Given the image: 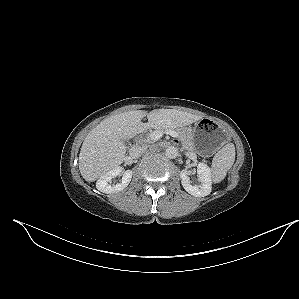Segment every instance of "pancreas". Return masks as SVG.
<instances>
[{"label": "pancreas", "mask_w": 299, "mask_h": 299, "mask_svg": "<svg viewBox=\"0 0 299 299\" xmlns=\"http://www.w3.org/2000/svg\"><path fill=\"white\" fill-rule=\"evenodd\" d=\"M167 130L175 131L177 133L178 137L180 138V140L182 141V143L185 145L186 149L189 151H193L192 142L190 140V135H191L190 129H188V128H183V129L162 128V129H159V131H161V132H165ZM149 142H152V140L149 139Z\"/></svg>", "instance_id": "cf45deb5"}]
</instances>
